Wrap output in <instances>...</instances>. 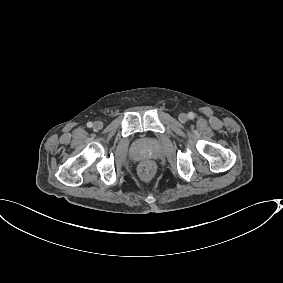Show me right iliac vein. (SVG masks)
Instances as JSON below:
<instances>
[{"instance_id":"1","label":"right iliac vein","mask_w":283,"mask_h":283,"mask_svg":"<svg viewBox=\"0 0 283 283\" xmlns=\"http://www.w3.org/2000/svg\"><path fill=\"white\" fill-rule=\"evenodd\" d=\"M103 127V123L101 121H95L93 124L94 130H100Z\"/></svg>"}]
</instances>
